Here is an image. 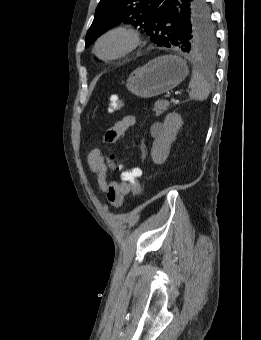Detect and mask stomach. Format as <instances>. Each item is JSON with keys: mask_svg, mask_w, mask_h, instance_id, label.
<instances>
[{"mask_svg": "<svg viewBox=\"0 0 261 340\" xmlns=\"http://www.w3.org/2000/svg\"><path fill=\"white\" fill-rule=\"evenodd\" d=\"M188 75L186 62L173 55L157 57L134 70L128 77V91L140 98H151L172 90Z\"/></svg>", "mask_w": 261, "mask_h": 340, "instance_id": "stomach-1", "label": "stomach"}]
</instances>
